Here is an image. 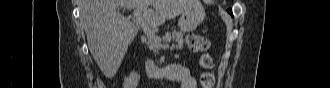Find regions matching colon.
I'll return each mask as SVG.
<instances>
[{
  "mask_svg": "<svg viewBox=\"0 0 330 88\" xmlns=\"http://www.w3.org/2000/svg\"><path fill=\"white\" fill-rule=\"evenodd\" d=\"M187 43L193 53L200 54L201 66L206 70L201 76V83L204 88H212L214 85V77L209 71L213 67V61L208 54L210 48L209 40L200 35H190Z\"/></svg>",
  "mask_w": 330,
  "mask_h": 88,
  "instance_id": "obj_1",
  "label": "colon"
}]
</instances>
